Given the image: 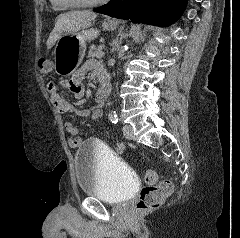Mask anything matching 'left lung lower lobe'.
I'll return each mask as SVG.
<instances>
[{
	"label": "left lung lower lobe",
	"mask_w": 240,
	"mask_h": 238,
	"mask_svg": "<svg viewBox=\"0 0 240 238\" xmlns=\"http://www.w3.org/2000/svg\"><path fill=\"white\" fill-rule=\"evenodd\" d=\"M187 0H110L95 12L120 19L168 26L183 13Z\"/></svg>",
	"instance_id": "obj_1"
}]
</instances>
